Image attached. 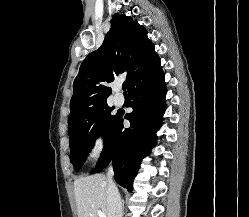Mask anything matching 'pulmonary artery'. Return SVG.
Returning a JSON list of instances; mask_svg holds the SVG:
<instances>
[{"label": "pulmonary artery", "mask_w": 249, "mask_h": 217, "mask_svg": "<svg viewBox=\"0 0 249 217\" xmlns=\"http://www.w3.org/2000/svg\"><path fill=\"white\" fill-rule=\"evenodd\" d=\"M114 102H115V104H116L117 106H121V105H123V103H124V99H123L122 97H120V96H116V97L114 98Z\"/></svg>", "instance_id": "obj_1"}]
</instances>
